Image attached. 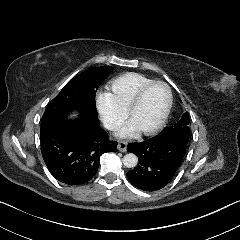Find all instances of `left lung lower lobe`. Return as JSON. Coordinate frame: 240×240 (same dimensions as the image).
Masks as SVG:
<instances>
[{"mask_svg": "<svg viewBox=\"0 0 240 240\" xmlns=\"http://www.w3.org/2000/svg\"><path fill=\"white\" fill-rule=\"evenodd\" d=\"M189 137L163 133L139 143H129L127 151L134 153L138 165L127 172L129 181L143 191L165 187L176 174L185 155Z\"/></svg>", "mask_w": 240, "mask_h": 240, "instance_id": "obj_1", "label": "left lung lower lobe"}]
</instances>
